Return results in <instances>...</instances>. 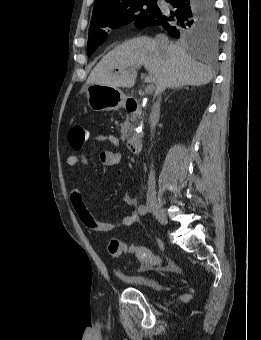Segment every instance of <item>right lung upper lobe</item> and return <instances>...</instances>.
<instances>
[{
    "label": "right lung upper lobe",
    "instance_id": "obj_1",
    "mask_svg": "<svg viewBox=\"0 0 261 340\" xmlns=\"http://www.w3.org/2000/svg\"><path fill=\"white\" fill-rule=\"evenodd\" d=\"M144 0H95L91 21L102 19L118 9Z\"/></svg>",
    "mask_w": 261,
    "mask_h": 340
}]
</instances>
